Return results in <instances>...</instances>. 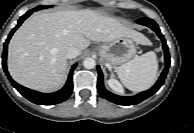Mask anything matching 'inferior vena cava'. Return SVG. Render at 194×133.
I'll list each match as a JSON object with an SVG mask.
<instances>
[{
  "mask_svg": "<svg viewBox=\"0 0 194 133\" xmlns=\"http://www.w3.org/2000/svg\"><path fill=\"white\" fill-rule=\"evenodd\" d=\"M79 54H80V50L76 47H73V46L68 47L65 50V57L67 59H73V58L77 57Z\"/></svg>",
  "mask_w": 194,
  "mask_h": 133,
  "instance_id": "inferior-vena-cava-1",
  "label": "inferior vena cava"
}]
</instances>
